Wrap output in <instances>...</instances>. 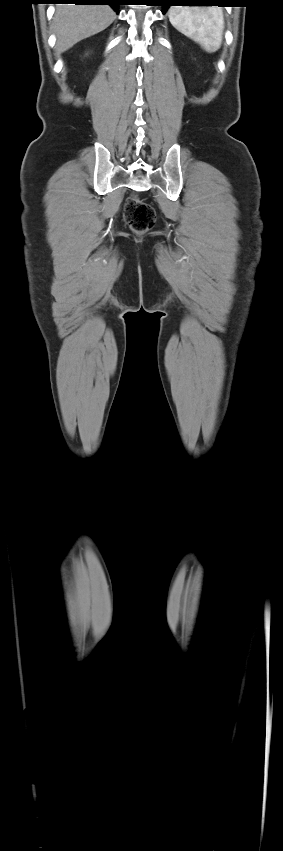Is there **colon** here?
I'll list each match as a JSON object with an SVG mask.
<instances>
[{"mask_svg": "<svg viewBox=\"0 0 283 851\" xmlns=\"http://www.w3.org/2000/svg\"><path fill=\"white\" fill-rule=\"evenodd\" d=\"M124 220L134 232L144 233L154 226L156 213L151 205L132 195L124 207Z\"/></svg>", "mask_w": 283, "mask_h": 851, "instance_id": "5ec220e1", "label": "colon"}]
</instances>
